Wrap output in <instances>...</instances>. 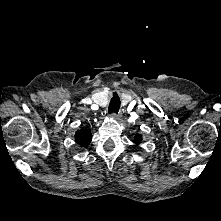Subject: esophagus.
<instances>
[{"label":"esophagus","mask_w":221,"mask_h":221,"mask_svg":"<svg viewBox=\"0 0 221 221\" xmlns=\"http://www.w3.org/2000/svg\"><path fill=\"white\" fill-rule=\"evenodd\" d=\"M122 116V112L119 111L118 113H113L112 114V118L116 119V118H120Z\"/></svg>","instance_id":"obj_1"}]
</instances>
